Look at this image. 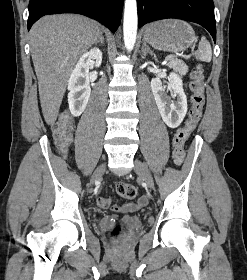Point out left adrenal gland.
Instances as JSON below:
<instances>
[{"label":"left adrenal gland","instance_id":"left-adrenal-gland-1","mask_svg":"<svg viewBox=\"0 0 247 280\" xmlns=\"http://www.w3.org/2000/svg\"><path fill=\"white\" fill-rule=\"evenodd\" d=\"M147 53L152 54V52H151L150 48L148 47V45H146V43L143 42L142 54H143V56H146Z\"/></svg>","mask_w":247,"mask_h":280}]
</instances>
